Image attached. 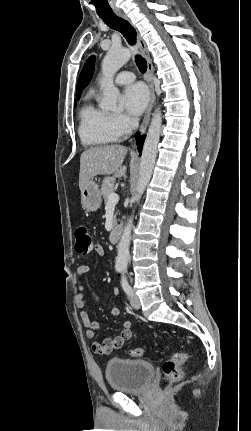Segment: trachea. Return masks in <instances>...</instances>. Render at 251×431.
<instances>
[{
  "label": "trachea",
  "instance_id": "3493384b",
  "mask_svg": "<svg viewBox=\"0 0 251 431\" xmlns=\"http://www.w3.org/2000/svg\"><path fill=\"white\" fill-rule=\"evenodd\" d=\"M99 17L108 27L119 31L130 45L136 44V30L127 20L118 17L114 13L99 15ZM135 61L139 71L145 73L147 71L146 60L142 56L136 55Z\"/></svg>",
  "mask_w": 251,
  "mask_h": 431
}]
</instances>
